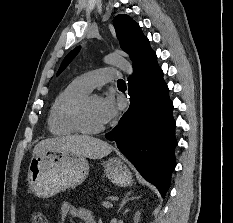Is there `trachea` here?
I'll use <instances>...</instances> for the list:
<instances>
[{
	"instance_id": "1",
	"label": "trachea",
	"mask_w": 233,
	"mask_h": 223,
	"mask_svg": "<svg viewBox=\"0 0 233 223\" xmlns=\"http://www.w3.org/2000/svg\"><path fill=\"white\" fill-rule=\"evenodd\" d=\"M117 85H125V81L120 79L118 80Z\"/></svg>"
}]
</instances>
